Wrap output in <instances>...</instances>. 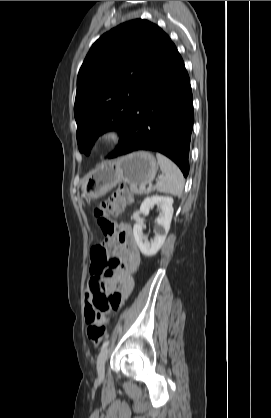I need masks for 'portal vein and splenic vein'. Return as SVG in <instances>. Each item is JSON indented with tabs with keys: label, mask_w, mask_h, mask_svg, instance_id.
<instances>
[{
	"label": "portal vein and splenic vein",
	"mask_w": 271,
	"mask_h": 418,
	"mask_svg": "<svg viewBox=\"0 0 271 418\" xmlns=\"http://www.w3.org/2000/svg\"><path fill=\"white\" fill-rule=\"evenodd\" d=\"M151 188H152V185H149L148 189H151Z\"/></svg>",
	"instance_id": "18ae733b"
}]
</instances>
